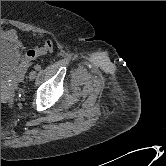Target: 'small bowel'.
Instances as JSON below:
<instances>
[{"instance_id": "small-bowel-1", "label": "small bowel", "mask_w": 166, "mask_h": 166, "mask_svg": "<svg viewBox=\"0 0 166 166\" xmlns=\"http://www.w3.org/2000/svg\"><path fill=\"white\" fill-rule=\"evenodd\" d=\"M1 39L13 42L18 48H23L19 34L13 29H1Z\"/></svg>"}]
</instances>
